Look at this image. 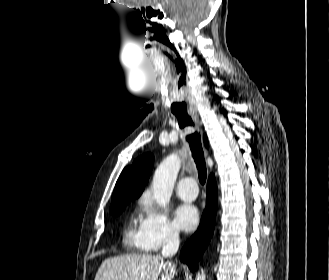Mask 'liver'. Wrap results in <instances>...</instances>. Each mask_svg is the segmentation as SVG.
<instances>
[{
    "instance_id": "1",
    "label": "liver",
    "mask_w": 329,
    "mask_h": 280,
    "mask_svg": "<svg viewBox=\"0 0 329 280\" xmlns=\"http://www.w3.org/2000/svg\"><path fill=\"white\" fill-rule=\"evenodd\" d=\"M176 274L160 255L129 254L105 259L94 280H172Z\"/></svg>"
}]
</instances>
